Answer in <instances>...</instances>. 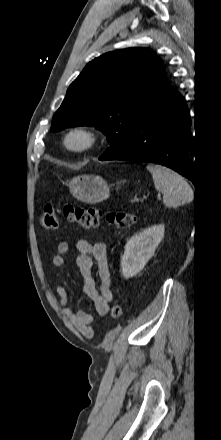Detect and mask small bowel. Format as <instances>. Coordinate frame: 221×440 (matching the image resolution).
<instances>
[{"label":"small bowel","mask_w":221,"mask_h":440,"mask_svg":"<svg viewBox=\"0 0 221 440\" xmlns=\"http://www.w3.org/2000/svg\"><path fill=\"white\" fill-rule=\"evenodd\" d=\"M78 256L76 264L83 279V290L91 301L96 313L105 316L109 312L110 303L114 298L111 287V273L108 264L107 247L104 243L92 244L87 240H79L77 242ZM69 251V243L61 241L58 244L57 253L53 256V265L55 267H64V256ZM97 265L96 272L99 284L93 277L94 265ZM56 293L59 297L60 305L63 307L64 314L70 322L78 329V331L86 338H92L95 334L92 326L93 317L84 310L74 311L68 306L69 292L62 285H57Z\"/></svg>","instance_id":"c3829d8e"}]
</instances>
